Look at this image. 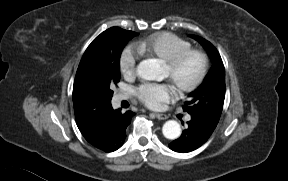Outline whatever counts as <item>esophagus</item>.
<instances>
[{
	"instance_id": "1",
	"label": "esophagus",
	"mask_w": 288,
	"mask_h": 181,
	"mask_svg": "<svg viewBox=\"0 0 288 181\" xmlns=\"http://www.w3.org/2000/svg\"><path fill=\"white\" fill-rule=\"evenodd\" d=\"M154 115H155V117H156L157 119H159V120H165V119L168 118L167 115L161 114V113H154Z\"/></svg>"
}]
</instances>
